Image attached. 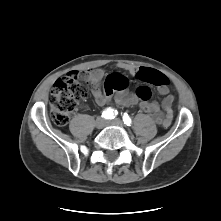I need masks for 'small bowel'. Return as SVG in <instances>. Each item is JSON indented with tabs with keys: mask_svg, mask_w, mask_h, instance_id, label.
<instances>
[{
	"mask_svg": "<svg viewBox=\"0 0 221 221\" xmlns=\"http://www.w3.org/2000/svg\"><path fill=\"white\" fill-rule=\"evenodd\" d=\"M118 67L122 70L136 75L138 70L135 66L129 64H119ZM105 76V71L102 68H96L87 72L83 78L90 84L94 101L97 105L103 106L109 102L111 95L101 89V82ZM107 84L118 87L115 94V100L122 106H133L139 104L140 108L149 113L155 123L163 126H168L173 116L172 105L174 97L169 94L167 86L158 87L159 94L164 96L162 101V110L156 101L141 100L135 94L127 91L128 80L125 76L114 73L108 76Z\"/></svg>",
	"mask_w": 221,
	"mask_h": 221,
	"instance_id": "obj_1",
	"label": "small bowel"
}]
</instances>
